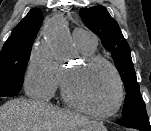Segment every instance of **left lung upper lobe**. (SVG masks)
<instances>
[{
  "label": "left lung upper lobe",
  "mask_w": 151,
  "mask_h": 131,
  "mask_svg": "<svg viewBox=\"0 0 151 131\" xmlns=\"http://www.w3.org/2000/svg\"><path fill=\"white\" fill-rule=\"evenodd\" d=\"M79 15L85 25L101 39L104 48L111 52L127 93L122 115L125 117L146 112L132 64L130 48L116 20L103 6L81 8Z\"/></svg>",
  "instance_id": "left-lung-upper-lobe-1"
}]
</instances>
